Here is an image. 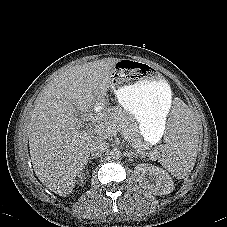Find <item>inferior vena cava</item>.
Instances as JSON below:
<instances>
[{
	"instance_id": "inferior-vena-cava-1",
	"label": "inferior vena cava",
	"mask_w": 227,
	"mask_h": 227,
	"mask_svg": "<svg viewBox=\"0 0 227 227\" xmlns=\"http://www.w3.org/2000/svg\"><path fill=\"white\" fill-rule=\"evenodd\" d=\"M108 143L102 138H96L90 145L89 151L92 156L99 157L103 155L108 149Z\"/></svg>"
}]
</instances>
